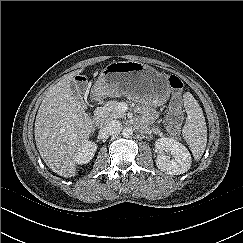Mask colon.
I'll list each match as a JSON object with an SVG mask.
<instances>
[{
  "instance_id": "obj_1",
  "label": "colon",
  "mask_w": 243,
  "mask_h": 243,
  "mask_svg": "<svg viewBox=\"0 0 243 243\" xmlns=\"http://www.w3.org/2000/svg\"><path fill=\"white\" fill-rule=\"evenodd\" d=\"M169 85L173 91V97L170 102V111L167 116V130L172 136L180 134L183 122V112L181 110V91L184 87L182 80L177 76L169 78Z\"/></svg>"
}]
</instances>
